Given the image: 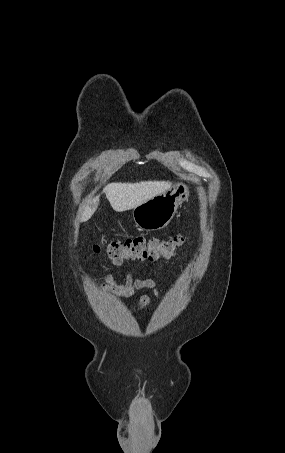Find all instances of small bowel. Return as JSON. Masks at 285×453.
Instances as JSON below:
<instances>
[{
    "label": "small bowel",
    "instance_id": "small-bowel-1",
    "mask_svg": "<svg viewBox=\"0 0 285 453\" xmlns=\"http://www.w3.org/2000/svg\"><path fill=\"white\" fill-rule=\"evenodd\" d=\"M114 290L121 296L130 297L138 290H151L159 297V290L156 282L151 278H134L132 272H128L122 284L115 286ZM150 306V299L142 296L139 303V311H146Z\"/></svg>",
    "mask_w": 285,
    "mask_h": 453
}]
</instances>
